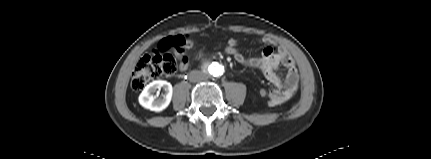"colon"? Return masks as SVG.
<instances>
[{"label":"colon","mask_w":431,"mask_h":159,"mask_svg":"<svg viewBox=\"0 0 431 159\" xmlns=\"http://www.w3.org/2000/svg\"><path fill=\"white\" fill-rule=\"evenodd\" d=\"M190 46V41L184 36H170L165 38L158 50H154L144 55L136 64L132 73L131 87L135 91H140L151 81L161 77L173 75L177 70V61L171 51L182 54ZM224 46V45H223ZM226 55H241V48H233ZM268 95L266 90L260 91V96L265 98ZM269 103V102H268Z\"/></svg>","instance_id":"obj_1"}]
</instances>
